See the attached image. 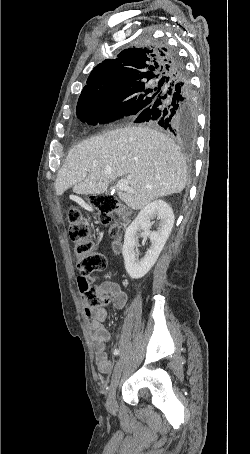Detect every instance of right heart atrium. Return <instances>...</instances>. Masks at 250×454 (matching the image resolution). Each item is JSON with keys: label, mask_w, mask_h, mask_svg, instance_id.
<instances>
[{"label": "right heart atrium", "mask_w": 250, "mask_h": 454, "mask_svg": "<svg viewBox=\"0 0 250 454\" xmlns=\"http://www.w3.org/2000/svg\"><path fill=\"white\" fill-rule=\"evenodd\" d=\"M119 113H120L119 111L113 110V111L111 112V115H112V116H117Z\"/></svg>", "instance_id": "1"}]
</instances>
